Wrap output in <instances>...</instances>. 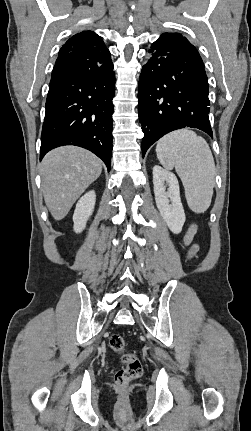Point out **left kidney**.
<instances>
[{
  "mask_svg": "<svg viewBox=\"0 0 251 431\" xmlns=\"http://www.w3.org/2000/svg\"><path fill=\"white\" fill-rule=\"evenodd\" d=\"M153 185L160 215L174 234H179L185 222L178 179L172 172L159 165L153 167ZM166 186L168 189L166 191Z\"/></svg>",
  "mask_w": 251,
  "mask_h": 431,
  "instance_id": "obj_1",
  "label": "left kidney"
}]
</instances>
